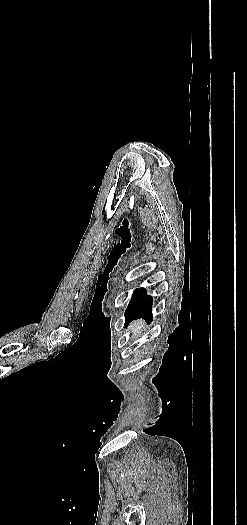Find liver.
<instances>
[{"label": "liver", "mask_w": 247, "mask_h": 525, "mask_svg": "<svg viewBox=\"0 0 247 525\" xmlns=\"http://www.w3.org/2000/svg\"><path fill=\"white\" fill-rule=\"evenodd\" d=\"M146 327L147 325H144L143 321H133L128 329L133 333V339H137L138 333H142L143 329H146Z\"/></svg>", "instance_id": "1"}]
</instances>
